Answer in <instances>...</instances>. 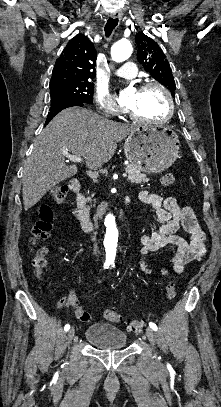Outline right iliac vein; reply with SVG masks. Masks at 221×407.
<instances>
[{"label": "right iliac vein", "instance_id": "right-iliac-vein-1", "mask_svg": "<svg viewBox=\"0 0 221 407\" xmlns=\"http://www.w3.org/2000/svg\"><path fill=\"white\" fill-rule=\"evenodd\" d=\"M75 334V329L72 327L67 334L68 341L71 342Z\"/></svg>", "mask_w": 221, "mask_h": 407}]
</instances>
